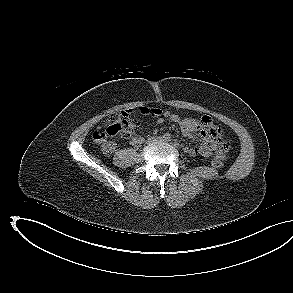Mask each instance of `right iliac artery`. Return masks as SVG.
<instances>
[{"label": "right iliac artery", "mask_w": 293, "mask_h": 293, "mask_svg": "<svg viewBox=\"0 0 293 293\" xmlns=\"http://www.w3.org/2000/svg\"><path fill=\"white\" fill-rule=\"evenodd\" d=\"M163 138H164L166 141H170V140H171V136H170L169 133H165V134L163 135Z\"/></svg>", "instance_id": "obj_1"}]
</instances>
